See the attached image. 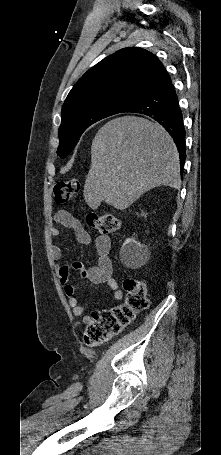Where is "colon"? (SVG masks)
I'll return each mask as SVG.
<instances>
[{
	"label": "colon",
	"mask_w": 221,
	"mask_h": 455,
	"mask_svg": "<svg viewBox=\"0 0 221 455\" xmlns=\"http://www.w3.org/2000/svg\"><path fill=\"white\" fill-rule=\"evenodd\" d=\"M80 182L68 179L58 182L53 189L57 204H66L80 190ZM87 225L100 234H113L120 228V220L111 213H92L87 216ZM126 297L124 303L94 313L84 334V340L89 346H98L108 339L118 335L126 326L131 324L138 314L149 306L147 288L143 280L127 278L124 281Z\"/></svg>",
	"instance_id": "obj_1"
}]
</instances>
